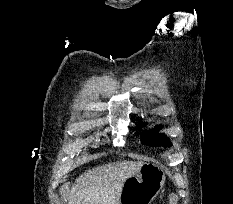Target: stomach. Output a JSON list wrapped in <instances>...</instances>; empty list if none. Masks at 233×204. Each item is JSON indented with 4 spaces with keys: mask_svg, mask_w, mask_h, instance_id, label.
Returning <instances> with one entry per match:
<instances>
[{
    "mask_svg": "<svg viewBox=\"0 0 233 204\" xmlns=\"http://www.w3.org/2000/svg\"><path fill=\"white\" fill-rule=\"evenodd\" d=\"M165 179L161 166L143 163L138 173L124 182L119 204H151L163 188Z\"/></svg>",
    "mask_w": 233,
    "mask_h": 204,
    "instance_id": "0dacf381",
    "label": "stomach"
}]
</instances>
